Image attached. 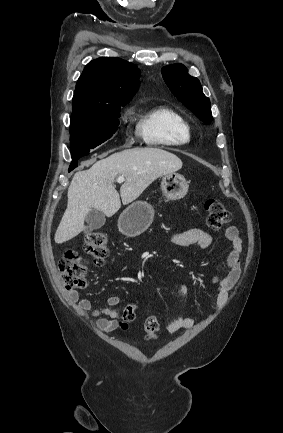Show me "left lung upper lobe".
<instances>
[{
    "mask_svg": "<svg viewBox=\"0 0 283 433\" xmlns=\"http://www.w3.org/2000/svg\"><path fill=\"white\" fill-rule=\"evenodd\" d=\"M162 76L171 92L190 109L201 121L209 124L212 121L211 103L202 92L199 80L188 74L182 64L162 68Z\"/></svg>",
    "mask_w": 283,
    "mask_h": 433,
    "instance_id": "obj_1",
    "label": "left lung upper lobe"
}]
</instances>
